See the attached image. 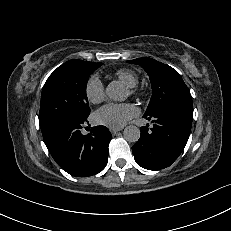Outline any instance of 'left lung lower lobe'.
<instances>
[{
  "instance_id": "0a47b994",
  "label": "left lung lower lobe",
  "mask_w": 231,
  "mask_h": 231,
  "mask_svg": "<svg viewBox=\"0 0 231 231\" xmlns=\"http://www.w3.org/2000/svg\"><path fill=\"white\" fill-rule=\"evenodd\" d=\"M153 127H141V136L132 147L138 165L148 170L170 166L183 151L191 131L193 106L189 102H170L144 114Z\"/></svg>"
}]
</instances>
